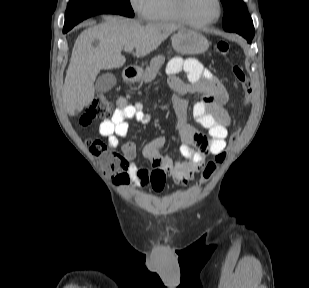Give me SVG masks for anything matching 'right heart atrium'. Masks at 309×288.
Wrapping results in <instances>:
<instances>
[{"label":"right heart atrium","instance_id":"obj_1","mask_svg":"<svg viewBox=\"0 0 309 288\" xmlns=\"http://www.w3.org/2000/svg\"><path fill=\"white\" fill-rule=\"evenodd\" d=\"M129 3L135 13L143 17L145 16L149 0H129Z\"/></svg>","mask_w":309,"mask_h":288}]
</instances>
